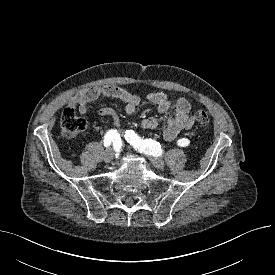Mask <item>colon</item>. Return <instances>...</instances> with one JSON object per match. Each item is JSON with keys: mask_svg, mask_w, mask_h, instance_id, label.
I'll return each instance as SVG.
<instances>
[{"mask_svg": "<svg viewBox=\"0 0 275 275\" xmlns=\"http://www.w3.org/2000/svg\"><path fill=\"white\" fill-rule=\"evenodd\" d=\"M193 120L200 126H206L210 122V117L205 110H197L192 115ZM62 134L67 139H73L85 130L87 122L84 118L75 114L74 110L67 108L61 116Z\"/></svg>", "mask_w": 275, "mask_h": 275, "instance_id": "colon-1", "label": "colon"}]
</instances>
